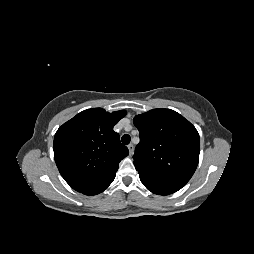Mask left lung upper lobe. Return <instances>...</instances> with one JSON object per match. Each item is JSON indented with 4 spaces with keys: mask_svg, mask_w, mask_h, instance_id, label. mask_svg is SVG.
<instances>
[{
    "mask_svg": "<svg viewBox=\"0 0 254 254\" xmlns=\"http://www.w3.org/2000/svg\"><path fill=\"white\" fill-rule=\"evenodd\" d=\"M140 143L133 156L138 172L186 184L199 161L200 139L196 128L170 109H153L134 118Z\"/></svg>",
    "mask_w": 254,
    "mask_h": 254,
    "instance_id": "1",
    "label": "left lung upper lobe"
}]
</instances>
